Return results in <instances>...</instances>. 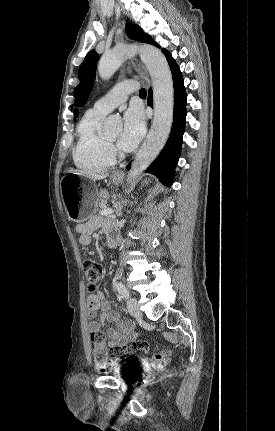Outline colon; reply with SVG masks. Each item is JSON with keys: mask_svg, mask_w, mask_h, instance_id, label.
I'll list each match as a JSON object with an SVG mask.
<instances>
[{"mask_svg": "<svg viewBox=\"0 0 275 431\" xmlns=\"http://www.w3.org/2000/svg\"><path fill=\"white\" fill-rule=\"evenodd\" d=\"M83 268L86 275L88 289L94 291L100 281L104 267L100 260L87 257L83 261ZM91 341L93 343V354L97 366L104 372L111 371L120 365H130V358L120 357L121 348H112L108 350L105 346V334L101 330L91 332ZM132 350L148 352V344L145 341H136L129 345ZM170 354L168 351L157 353L151 357H144V360L155 367H162L169 361Z\"/></svg>", "mask_w": 275, "mask_h": 431, "instance_id": "colon-1", "label": "colon"}]
</instances>
